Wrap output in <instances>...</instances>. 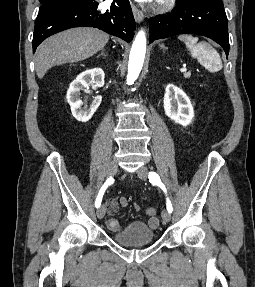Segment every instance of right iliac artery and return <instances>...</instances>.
I'll return each mask as SVG.
<instances>
[{
  "mask_svg": "<svg viewBox=\"0 0 255 287\" xmlns=\"http://www.w3.org/2000/svg\"><path fill=\"white\" fill-rule=\"evenodd\" d=\"M113 181H114L113 178L110 177L106 180V182L101 187L99 194L96 198V202H95L96 208H98L101 205L103 194H104L105 190L107 189V187L113 183Z\"/></svg>",
  "mask_w": 255,
  "mask_h": 287,
  "instance_id": "1",
  "label": "right iliac artery"
}]
</instances>
